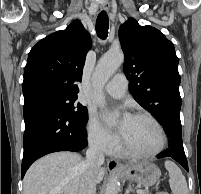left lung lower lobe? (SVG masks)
I'll use <instances>...</instances> for the list:
<instances>
[{
	"instance_id": "1",
	"label": "left lung lower lobe",
	"mask_w": 201,
	"mask_h": 194,
	"mask_svg": "<svg viewBox=\"0 0 201 194\" xmlns=\"http://www.w3.org/2000/svg\"><path fill=\"white\" fill-rule=\"evenodd\" d=\"M166 134L169 136V147L158 155L159 158L171 157L188 171V163L182 142V129L180 117L167 115L161 122Z\"/></svg>"
}]
</instances>
